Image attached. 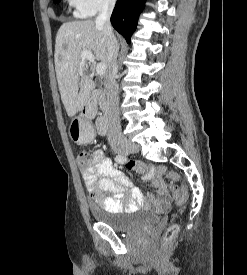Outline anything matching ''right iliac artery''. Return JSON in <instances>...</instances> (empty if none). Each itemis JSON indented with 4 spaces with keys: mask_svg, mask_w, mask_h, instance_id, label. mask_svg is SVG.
<instances>
[{
    "mask_svg": "<svg viewBox=\"0 0 247 275\" xmlns=\"http://www.w3.org/2000/svg\"><path fill=\"white\" fill-rule=\"evenodd\" d=\"M126 160H127V158L124 155H121V154H119L115 157V161L118 162V163H121V164L126 162ZM155 174H157V169H156V167H154L153 164H150L149 165V172H148L147 177H145V179L147 178V180H154Z\"/></svg>",
    "mask_w": 247,
    "mask_h": 275,
    "instance_id": "82829eb1",
    "label": "right iliac artery"
}]
</instances>
